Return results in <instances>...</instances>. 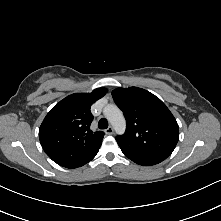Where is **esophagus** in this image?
I'll use <instances>...</instances> for the list:
<instances>
[{
  "mask_svg": "<svg viewBox=\"0 0 221 221\" xmlns=\"http://www.w3.org/2000/svg\"><path fill=\"white\" fill-rule=\"evenodd\" d=\"M107 135H112L114 133V128L112 126H109L106 130H105Z\"/></svg>",
  "mask_w": 221,
  "mask_h": 221,
  "instance_id": "esophagus-1",
  "label": "esophagus"
}]
</instances>
